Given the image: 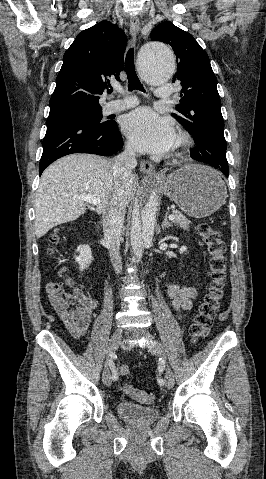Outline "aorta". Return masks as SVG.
Here are the masks:
<instances>
[{
  "mask_svg": "<svg viewBox=\"0 0 266 479\" xmlns=\"http://www.w3.org/2000/svg\"><path fill=\"white\" fill-rule=\"evenodd\" d=\"M139 69L143 77L153 85H160L173 76L175 59L171 49L160 42L145 44L138 55ZM158 198L154 190L144 186L138 198V213L134 214L131 226V247L134 256L140 260L146 243L152 241Z\"/></svg>",
  "mask_w": 266,
  "mask_h": 479,
  "instance_id": "1",
  "label": "aorta"
}]
</instances>
